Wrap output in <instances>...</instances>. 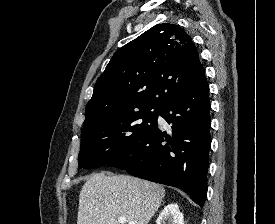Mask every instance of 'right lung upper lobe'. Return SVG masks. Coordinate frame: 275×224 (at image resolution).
<instances>
[{
	"label": "right lung upper lobe",
	"instance_id": "cb5924a9",
	"mask_svg": "<svg viewBox=\"0 0 275 224\" xmlns=\"http://www.w3.org/2000/svg\"><path fill=\"white\" fill-rule=\"evenodd\" d=\"M203 73L191 37L158 24L119 49L98 78L83 129L141 109H163Z\"/></svg>",
	"mask_w": 275,
	"mask_h": 224
}]
</instances>
